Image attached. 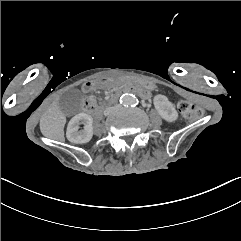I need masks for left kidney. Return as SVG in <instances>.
I'll list each match as a JSON object with an SVG mask.
<instances>
[{"label":"left kidney","mask_w":241,"mask_h":241,"mask_svg":"<svg viewBox=\"0 0 241 241\" xmlns=\"http://www.w3.org/2000/svg\"><path fill=\"white\" fill-rule=\"evenodd\" d=\"M154 106L159 115L168 122H173L178 118V113L173 104L164 95H156L154 97Z\"/></svg>","instance_id":"1"}]
</instances>
